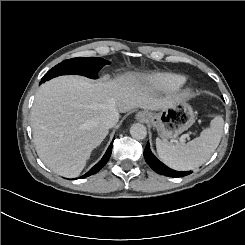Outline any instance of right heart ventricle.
<instances>
[{
	"instance_id": "1",
	"label": "right heart ventricle",
	"mask_w": 245,
	"mask_h": 245,
	"mask_svg": "<svg viewBox=\"0 0 245 245\" xmlns=\"http://www.w3.org/2000/svg\"><path fill=\"white\" fill-rule=\"evenodd\" d=\"M154 80L158 85L167 89L179 87L186 81L184 76L174 73L156 74Z\"/></svg>"
}]
</instances>
